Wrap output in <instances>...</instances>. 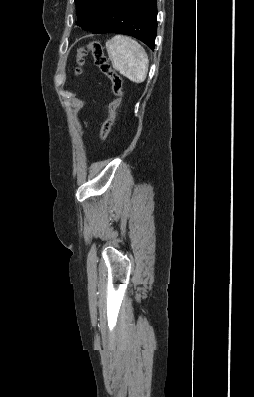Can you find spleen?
Instances as JSON below:
<instances>
[{
	"label": "spleen",
	"instance_id": "obj_1",
	"mask_svg": "<svg viewBox=\"0 0 254 397\" xmlns=\"http://www.w3.org/2000/svg\"><path fill=\"white\" fill-rule=\"evenodd\" d=\"M106 48L116 71L134 83L145 81L149 60L138 42L127 36L116 35L106 42Z\"/></svg>",
	"mask_w": 254,
	"mask_h": 397
}]
</instances>
